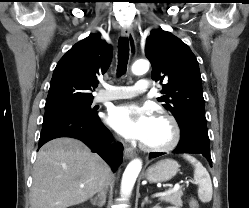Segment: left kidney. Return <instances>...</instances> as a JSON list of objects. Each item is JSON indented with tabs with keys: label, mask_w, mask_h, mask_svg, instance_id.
Wrapping results in <instances>:
<instances>
[{
	"label": "left kidney",
	"mask_w": 249,
	"mask_h": 208,
	"mask_svg": "<svg viewBox=\"0 0 249 208\" xmlns=\"http://www.w3.org/2000/svg\"><path fill=\"white\" fill-rule=\"evenodd\" d=\"M153 208H161V207L155 206ZM167 208H175V207H167Z\"/></svg>",
	"instance_id": "5707ae66"
}]
</instances>
